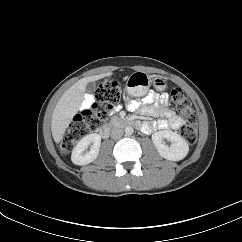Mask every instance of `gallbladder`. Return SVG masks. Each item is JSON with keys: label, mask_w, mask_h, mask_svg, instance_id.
Instances as JSON below:
<instances>
[{"label": "gallbladder", "mask_w": 242, "mask_h": 242, "mask_svg": "<svg viewBox=\"0 0 242 242\" xmlns=\"http://www.w3.org/2000/svg\"><path fill=\"white\" fill-rule=\"evenodd\" d=\"M96 89V85L94 83H90L87 85V91L93 92Z\"/></svg>", "instance_id": "obj_1"}]
</instances>
